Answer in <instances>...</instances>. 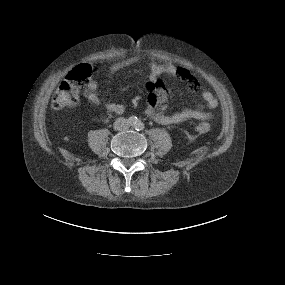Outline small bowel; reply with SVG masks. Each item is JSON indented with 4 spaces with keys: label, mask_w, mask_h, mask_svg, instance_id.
<instances>
[{
    "label": "small bowel",
    "mask_w": 285,
    "mask_h": 285,
    "mask_svg": "<svg viewBox=\"0 0 285 285\" xmlns=\"http://www.w3.org/2000/svg\"><path fill=\"white\" fill-rule=\"evenodd\" d=\"M136 62L137 59L135 58H128L116 62L110 67V73L114 74L120 69ZM181 69L187 71L186 69L177 67L173 64L152 63L150 65L151 79L148 83L149 93L145 114L159 124L175 125L187 120L205 121L210 118V113L203 108L183 109L170 114L166 112L168 94L157 77L162 74L179 76L178 71ZM180 77L185 80L191 88H198L199 84L194 77H192L190 80H187L184 76ZM84 95L89 102L97 106H102L109 112L121 114L124 111L123 104L117 102H107L99 95L98 85L95 81H91L88 84ZM201 96L207 109L212 110L218 106L217 99L209 90H203Z\"/></svg>",
    "instance_id": "1"
}]
</instances>
